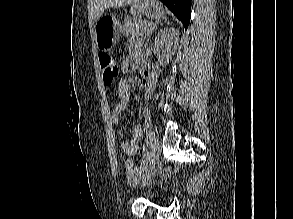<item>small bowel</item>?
I'll use <instances>...</instances> for the list:
<instances>
[{"instance_id":"small-bowel-1","label":"small bowel","mask_w":293,"mask_h":219,"mask_svg":"<svg viewBox=\"0 0 293 219\" xmlns=\"http://www.w3.org/2000/svg\"><path fill=\"white\" fill-rule=\"evenodd\" d=\"M133 59L136 62L141 61L140 57V45L137 42H132L130 44V56L123 62L122 70L126 71L129 67L130 60ZM149 80V72L142 71L140 73V84L146 85ZM118 95L119 100L116 103L115 109L112 113V117L115 123H118V117L124 110H130L129 100H130V89L129 84L125 79H122L118 84ZM119 135L122 137L123 141L121 148L126 155H134L139 146V142L143 137V131L140 125H135L132 129L131 139H127L122 131H119Z\"/></svg>"}]
</instances>
